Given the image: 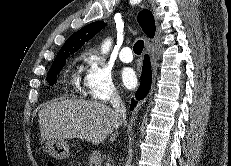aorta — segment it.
I'll use <instances>...</instances> for the list:
<instances>
[{"label":"aorta","instance_id":"obj_1","mask_svg":"<svg viewBox=\"0 0 231 166\" xmlns=\"http://www.w3.org/2000/svg\"><path fill=\"white\" fill-rule=\"evenodd\" d=\"M112 45V40L111 39H107L103 42L102 46H101V53L102 54H107L111 48Z\"/></svg>","mask_w":231,"mask_h":166}]
</instances>
